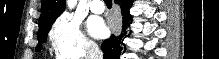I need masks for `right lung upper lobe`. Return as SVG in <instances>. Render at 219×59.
Segmentation results:
<instances>
[{
  "label": "right lung upper lobe",
  "mask_w": 219,
  "mask_h": 59,
  "mask_svg": "<svg viewBox=\"0 0 219 59\" xmlns=\"http://www.w3.org/2000/svg\"><path fill=\"white\" fill-rule=\"evenodd\" d=\"M65 10V0H42L39 28L52 25Z\"/></svg>",
  "instance_id": "right-lung-upper-lobe-1"
}]
</instances>
